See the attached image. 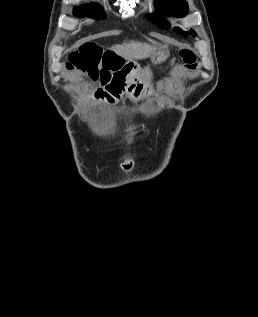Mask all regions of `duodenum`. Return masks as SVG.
<instances>
[{"instance_id": "obj_1", "label": "duodenum", "mask_w": 258, "mask_h": 317, "mask_svg": "<svg viewBox=\"0 0 258 317\" xmlns=\"http://www.w3.org/2000/svg\"><path fill=\"white\" fill-rule=\"evenodd\" d=\"M136 78V68L132 65H123L95 92L94 98L99 102H114L131 90Z\"/></svg>"}]
</instances>
